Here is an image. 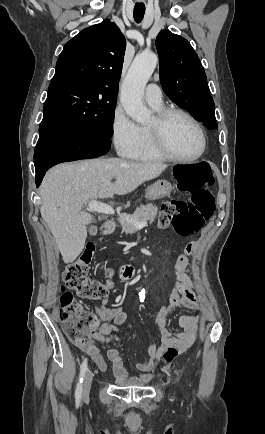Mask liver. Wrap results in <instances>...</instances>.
<instances>
[{
	"mask_svg": "<svg viewBox=\"0 0 265 434\" xmlns=\"http://www.w3.org/2000/svg\"><path fill=\"white\" fill-rule=\"evenodd\" d=\"M166 168L160 162L136 164L119 158L82 160L51 168L40 188V214L64 264L74 262L85 246L86 226L93 222V216L83 212L86 202L129 194L143 182L158 178Z\"/></svg>",
	"mask_w": 265,
	"mask_h": 434,
	"instance_id": "obj_1",
	"label": "liver"
}]
</instances>
